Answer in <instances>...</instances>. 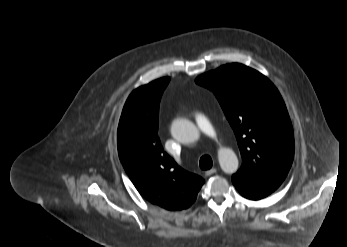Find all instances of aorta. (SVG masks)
<instances>
[{
  "label": "aorta",
  "instance_id": "762f6f07",
  "mask_svg": "<svg viewBox=\"0 0 347 247\" xmlns=\"http://www.w3.org/2000/svg\"><path fill=\"white\" fill-rule=\"evenodd\" d=\"M171 134L173 138L185 144L193 143L200 138L197 127L191 121L182 118L173 121ZM218 161L221 169L227 174L235 173L239 166L238 158L230 148L219 149Z\"/></svg>",
  "mask_w": 347,
  "mask_h": 247
}]
</instances>
